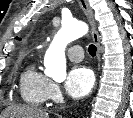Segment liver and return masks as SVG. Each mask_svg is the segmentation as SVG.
I'll return each instance as SVG.
<instances>
[{
    "label": "liver",
    "instance_id": "liver-1",
    "mask_svg": "<svg viewBox=\"0 0 133 118\" xmlns=\"http://www.w3.org/2000/svg\"><path fill=\"white\" fill-rule=\"evenodd\" d=\"M5 118H48L45 110L31 106H13L8 108L3 115Z\"/></svg>",
    "mask_w": 133,
    "mask_h": 118
}]
</instances>
